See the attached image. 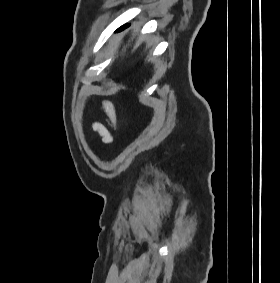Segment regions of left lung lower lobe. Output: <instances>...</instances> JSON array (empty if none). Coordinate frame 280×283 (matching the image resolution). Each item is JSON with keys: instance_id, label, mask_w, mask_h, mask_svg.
Masks as SVG:
<instances>
[{"instance_id": "left-lung-lower-lobe-1", "label": "left lung lower lobe", "mask_w": 280, "mask_h": 283, "mask_svg": "<svg viewBox=\"0 0 280 283\" xmlns=\"http://www.w3.org/2000/svg\"><path fill=\"white\" fill-rule=\"evenodd\" d=\"M128 25H124V26H122V27H120L117 31H120V30H122L123 28H125V27H127Z\"/></svg>"}]
</instances>
